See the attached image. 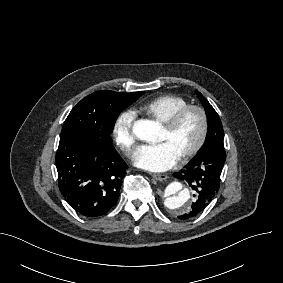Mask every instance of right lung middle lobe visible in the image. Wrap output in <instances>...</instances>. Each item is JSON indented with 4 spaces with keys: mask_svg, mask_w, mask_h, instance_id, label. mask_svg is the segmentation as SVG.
I'll return each mask as SVG.
<instances>
[{
    "mask_svg": "<svg viewBox=\"0 0 283 283\" xmlns=\"http://www.w3.org/2000/svg\"><path fill=\"white\" fill-rule=\"evenodd\" d=\"M143 93L103 90L90 94L71 110L64 122L61 137L82 135L95 141L112 144L110 134L118 115Z\"/></svg>",
    "mask_w": 283,
    "mask_h": 283,
    "instance_id": "obj_1",
    "label": "right lung middle lobe"
}]
</instances>
